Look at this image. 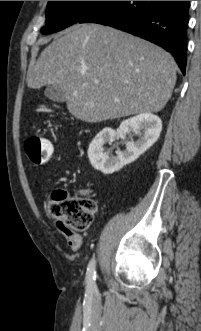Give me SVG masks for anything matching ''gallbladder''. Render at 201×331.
Listing matches in <instances>:
<instances>
[{"mask_svg":"<svg viewBox=\"0 0 201 331\" xmlns=\"http://www.w3.org/2000/svg\"><path fill=\"white\" fill-rule=\"evenodd\" d=\"M45 96L49 98L50 100L56 101V102H64L65 101V95L63 90L58 85H50L45 89L44 92Z\"/></svg>","mask_w":201,"mask_h":331,"instance_id":"1","label":"gallbladder"}]
</instances>
